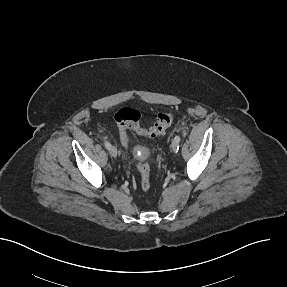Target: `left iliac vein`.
Segmentation results:
<instances>
[{
	"label": "left iliac vein",
	"instance_id": "4c4485c4",
	"mask_svg": "<svg viewBox=\"0 0 287 287\" xmlns=\"http://www.w3.org/2000/svg\"><path fill=\"white\" fill-rule=\"evenodd\" d=\"M171 148H172L173 152L178 151V143L175 140L172 141Z\"/></svg>",
	"mask_w": 287,
	"mask_h": 287
}]
</instances>
